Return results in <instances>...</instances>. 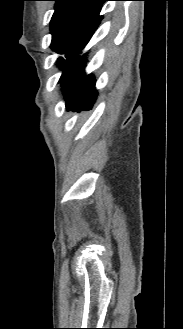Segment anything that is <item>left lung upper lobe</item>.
Here are the masks:
<instances>
[{
    "instance_id": "1",
    "label": "left lung upper lobe",
    "mask_w": 183,
    "mask_h": 329,
    "mask_svg": "<svg viewBox=\"0 0 183 329\" xmlns=\"http://www.w3.org/2000/svg\"><path fill=\"white\" fill-rule=\"evenodd\" d=\"M55 12L50 21L53 51L70 57L78 46L100 24L103 16L100 11L109 0H52ZM63 57L57 59L61 64Z\"/></svg>"
}]
</instances>
